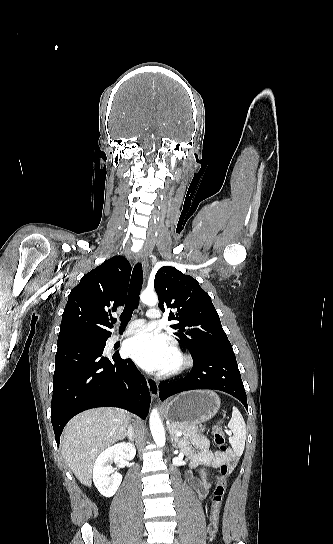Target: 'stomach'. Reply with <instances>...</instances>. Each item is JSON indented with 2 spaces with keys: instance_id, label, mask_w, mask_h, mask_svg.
Segmentation results:
<instances>
[{
  "instance_id": "obj_1",
  "label": "stomach",
  "mask_w": 333,
  "mask_h": 544,
  "mask_svg": "<svg viewBox=\"0 0 333 544\" xmlns=\"http://www.w3.org/2000/svg\"><path fill=\"white\" fill-rule=\"evenodd\" d=\"M219 396L209 390L184 392L165 406V416L171 423L196 426L216 415Z\"/></svg>"
}]
</instances>
